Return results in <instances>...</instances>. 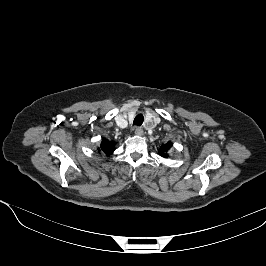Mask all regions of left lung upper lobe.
Here are the masks:
<instances>
[{
	"label": "left lung upper lobe",
	"mask_w": 266,
	"mask_h": 266,
	"mask_svg": "<svg viewBox=\"0 0 266 266\" xmlns=\"http://www.w3.org/2000/svg\"><path fill=\"white\" fill-rule=\"evenodd\" d=\"M171 147H172V143L171 142H167L166 144H163L159 148V153L161 154V156L168 157L167 152L170 150Z\"/></svg>",
	"instance_id": "left-lung-upper-lobe-1"
}]
</instances>
